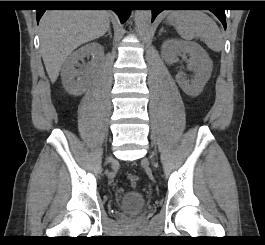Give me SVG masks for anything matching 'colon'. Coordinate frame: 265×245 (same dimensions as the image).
Masks as SVG:
<instances>
[{
  "label": "colon",
  "instance_id": "colon-1",
  "mask_svg": "<svg viewBox=\"0 0 265 245\" xmlns=\"http://www.w3.org/2000/svg\"><path fill=\"white\" fill-rule=\"evenodd\" d=\"M128 179H129V182H130L131 185H135L139 178H138L137 175L131 174V175L128 176Z\"/></svg>",
  "mask_w": 265,
  "mask_h": 245
}]
</instances>
